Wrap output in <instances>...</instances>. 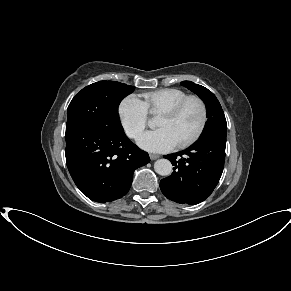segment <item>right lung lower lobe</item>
I'll use <instances>...</instances> for the list:
<instances>
[{"label": "right lung lower lobe", "mask_w": 291, "mask_h": 291, "mask_svg": "<svg viewBox=\"0 0 291 291\" xmlns=\"http://www.w3.org/2000/svg\"><path fill=\"white\" fill-rule=\"evenodd\" d=\"M66 163L79 190L104 203L123 197L132 184L135 169L149 163L148 153L124 134L122 126L94 130L66 124Z\"/></svg>", "instance_id": "98d812e1"}]
</instances>
